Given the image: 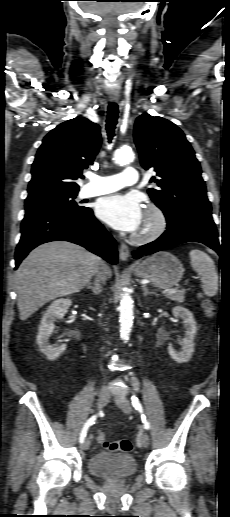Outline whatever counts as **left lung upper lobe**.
I'll return each instance as SVG.
<instances>
[{"instance_id":"1","label":"left lung upper lobe","mask_w":230,"mask_h":517,"mask_svg":"<svg viewBox=\"0 0 230 517\" xmlns=\"http://www.w3.org/2000/svg\"><path fill=\"white\" fill-rule=\"evenodd\" d=\"M134 140L145 170L157 173L149 189L153 202L163 211L167 223L185 215L210 213L201 167L184 133L171 121L142 114L136 120Z\"/></svg>"}]
</instances>
